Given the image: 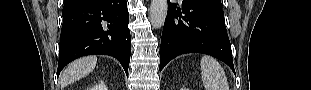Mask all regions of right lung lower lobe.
Wrapping results in <instances>:
<instances>
[{
	"mask_svg": "<svg viewBox=\"0 0 311 90\" xmlns=\"http://www.w3.org/2000/svg\"><path fill=\"white\" fill-rule=\"evenodd\" d=\"M57 76L72 60L110 55L128 73L131 36L126 0H65Z\"/></svg>",
	"mask_w": 311,
	"mask_h": 90,
	"instance_id": "1",
	"label": "right lung lower lobe"
}]
</instances>
